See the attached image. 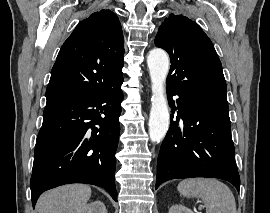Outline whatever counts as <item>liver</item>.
Here are the masks:
<instances>
[{
	"mask_svg": "<svg viewBox=\"0 0 270 213\" xmlns=\"http://www.w3.org/2000/svg\"><path fill=\"white\" fill-rule=\"evenodd\" d=\"M91 197V188L82 184L61 186L40 196L37 213H76Z\"/></svg>",
	"mask_w": 270,
	"mask_h": 213,
	"instance_id": "6515ba94",
	"label": "liver"
}]
</instances>
